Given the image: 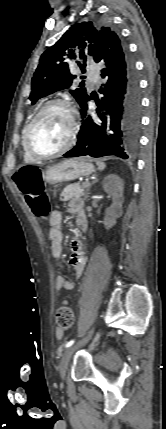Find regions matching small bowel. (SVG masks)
Here are the masks:
<instances>
[{"instance_id": "c3829d8e", "label": "small bowel", "mask_w": 166, "mask_h": 429, "mask_svg": "<svg viewBox=\"0 0 166 429\" xmlns=\"http://www.w3.org/2000/svg\"><path fill=\"white\" fill-rule=\"evenodd\" d=\"M68 211L76 215L78 226L82 230L87 229V219L84 213L83 202L79 198H73L69 205ZM61 214L58 211H53L49 217L48 237L51 242V254L55 260H59L62 255V231H61ZM71 257L70 264L73 268L75 279L79 278L87 263V256L83 250L82 241L79 238H73L70 242ZM57 290L71 291L75 287V281L70 280L63 275H58L55 280ZM56 338L62 340L64 332L57 329L55 332Z\"/></svg>"}]
</instances>
